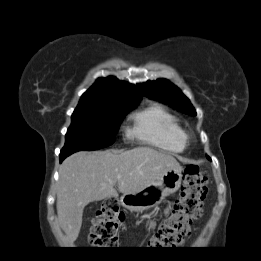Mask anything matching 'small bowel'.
I'll list each match as a JSON object with an SVG mask.
<instances>
[{"label":"small bowel","mask_w":261,"mask_h":261,"mask_svg":"<svg viewBox=\"0 0 261 261\" xmlns=\"http://www.w3.org/2000/svg\"><path fill=\"white\" fill-rule=\"evenodd\" d=\"M162 214L163 215H167L168 214V209H165Z\"/></svg>","instance_id":"small-bowel-1"}]
</instances>
